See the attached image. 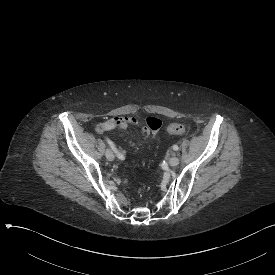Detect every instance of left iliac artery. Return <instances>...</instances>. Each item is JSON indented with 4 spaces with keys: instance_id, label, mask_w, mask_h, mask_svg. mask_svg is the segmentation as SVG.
I'll return each instance as SVG.
<instances>
[{
    "instance_id": "left-iliac-artery-1",
    "label": "left iliac artery",
    "mask_w": 275,
    "mask_h": 275,
    "mask_svg": "<svg viewBox=\"0 0 275 275\" xmlns=\"http://www.w3.org/2000/svg\"><path fill=\"white\" fill-rule=\"evenodd\" d=\"M179 149V147L177 145L173 146V150L177 151Z\"/></svg>"
}]
</instances>
